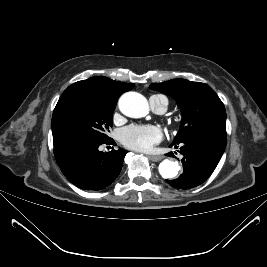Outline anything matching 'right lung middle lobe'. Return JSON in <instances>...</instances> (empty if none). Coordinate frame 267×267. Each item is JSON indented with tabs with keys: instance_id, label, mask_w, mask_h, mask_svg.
Returning a JSON list of instances; mask_svg holds the SVG:
<instances>
[{
	"instance_id": "right-lung-middle-lobe-1",
	"label": "right lung middle lobe",
	"mask_w": 267,
	"mask_h": 267,
	"mask_svg": "<svg viewBox=\"0 0 267 267\" xmlns=\"http://www.w3.org/2000/svg\"><path fill=\"white\" fill-rule=\"evenodd\" d=\"M117 98L102 88L82 81L69 86L53 111L54 147L73 142H105L112 127Z\"/></svg>"
}]
</instances>
